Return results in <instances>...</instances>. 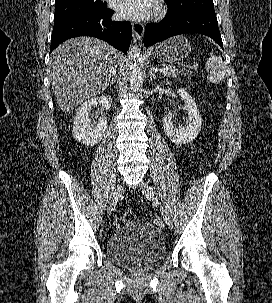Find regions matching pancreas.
I'll return each instance as SVG.
<instances>
[{"label": "pancreas", "instance_id": "1", "mask_svg": "<svg viewBox=\"0 0 272 303\" xmlns=\"http://www.w3.org/2000/svg\"><path fill=\"white\" fill-rule=\"evenodd\" d=\"M163 68H167L168 70L164 73V75L166 77H176L177 75H179V71L173 67V66H166V65H163Z\"/></svg>", "mask_w": 272, "mask_h": 303}]
</instances>
